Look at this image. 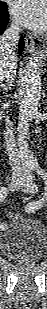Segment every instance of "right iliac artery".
Masks as SVG:
<instances>
[{"mask_svg": "<svg viewBox=\"0 0 47 309\" xmlns=\"http://www.w3.org/2000/svg\"><path fill=\"white\" fill-rule=\"evenodd\" d=\"M27 172H28V174H29L28 177H29L30 179H32V175L30 174V172H31L30 167H28ZM7 194H8L7 188L2 187V188H1V191H0V201L3 202L4 199L6 198ZM0 228H1V229H4V228H5V225H4L3 223L0 224Z\"/></svg>", "mask_w": 47, "mask_h": 309, "instance_id": "right-iliac-artery-1", "label": "right iliac artery"}]
</instances>
